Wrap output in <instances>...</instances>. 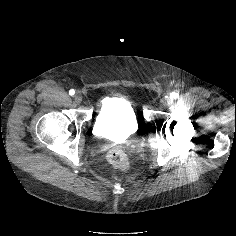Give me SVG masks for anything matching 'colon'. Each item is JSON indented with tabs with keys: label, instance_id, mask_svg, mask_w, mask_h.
<instances>
[{
	"label": "colon",
	"instance_id": "1",
	"mask_svg": "<svg viewBox=\"0 0 236 236\" xmlns=\"http://www.w3.org/2000/svg\"><path fill=\"white\" fill-rule=\"evenodd\" d=\"M108 160L120 171L126 172L129 169L128 157L120 148L111 149L108 153Z\"/></svg>",
	"mask_w": 236,
	"mask_h": 236
}]
</instances>
